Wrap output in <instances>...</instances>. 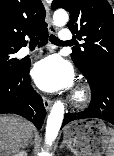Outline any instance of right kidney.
<instances>
[{"label": "right kidney", "mask_w": 114, "mask_h": 156, "mask_svg": "<svg viewBox=\"0 0 114 156\" xmlns=\"http://www.w3.org/2000/svg\"><path fill=\"white\" fill-rule=\"evenodd\" d=\"M13 156H27V152L26 151H20V152L14 154Z\"/></svg>", "instance_id": "right-kidney-1"}]
</instances>
